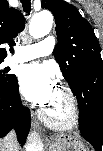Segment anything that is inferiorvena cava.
Listing matches in <instances>:
<instances>
[{"mask_svg": "<svg viewBox=\"0 0 103 151\" xmlns=\"http://www.w3.org/2000/svg\"><path fill=\"white\" fill-rule=\"evenodd\" d=\"M17 144L16 135L11 131L4 139L1 141V151H12V147ZM4 147V149H2Z\"/></svg>", "mask_w": 103, "mask_h": 151, "instance_id": "obj_1", "label": "inferior vena cava"}]
</instances>
